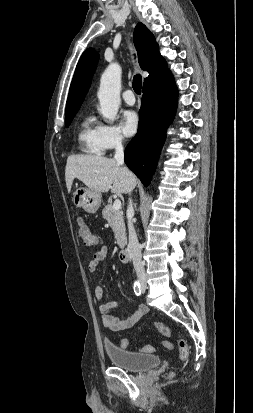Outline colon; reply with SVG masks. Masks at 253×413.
I'll return each mask as SVG.
<instances>
[{
	"instance_id": "5ec220e1",
	"label": "colon",
	"mask_w": 253,
	"mask_h": 413,
	"mask_svg": "<svg viewBox=\"0 0 253 413\" xmlns=\"http://www.w3.org/2000/svg\"><path fill=\"white\" fill-rule=\"evenodd\" d=\"M79 237L81 238V240L84 242L85 245L87 246H93L96 243V239L93 235V233L91 232V230L89 229V227L84 224L82 222L81 219H79ZM154 327L156 328V330L163 336L165 337H170L172 332L171 329L161 323V322H154ZM130 343L128 339H122L121 340V346L124 348L129 347ZM163 346L167 349H171L172 348V344L168 341L163 342ZM178 349H179V356L182 360H186L189 357V347L187 342L184 339H180L178 341ZM155 350V347L152 345H146L142 348V351L144 352H153Z\"/></svg>"
}]
</instances>
